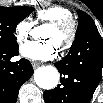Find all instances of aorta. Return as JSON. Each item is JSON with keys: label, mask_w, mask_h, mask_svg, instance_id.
Returning <instances> with one entry per match:
<instances>
[{"label": "aorta", "mask_w": 103, "mask_h": 103, "mask_svg": "<svg viewBox=\"0 0 103 103\" xmlns=\"http://www.w3.org/2000/svg\"><path fill=\"white\" fill-rule=\"evenodd\" d=\"M36 84L46 90L55 88L59 81V73L54 66H45L36 69L34 73Z\"/></svg>", "instance_id": "obj_1"}]
</instances>
